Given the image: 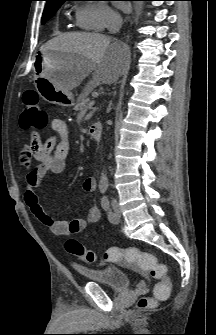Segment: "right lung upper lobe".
<instances>
[{
    "label": "right lung upper lobe",
    "mask_w": 216,
    "mask_h": 335,
    "mask_svg": "<svg viewBox=\"0 0 216 335\" xmlns=\"http://www.w3.org/2000/svg\"><path fill=\"white\" fill-rule=\"evenodd\" d=\"M47 3H46V6L47 5H52V4H57V3H63L64 1H67V0H45Z\"/></svg>",
    "instance_id": "cb5924a9"
}]
</instances>
